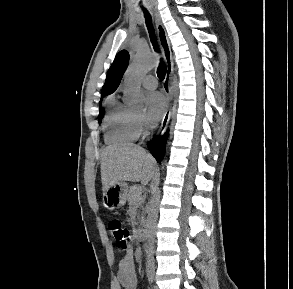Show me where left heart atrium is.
<instances>
[{"instance_id":"left-heart-atrium-1","label":"left heart atrium","mask_w":293,"mask_h":289,"mask_svg":"<svg viewBox=\"0 0 293 289\" xmlns=\"http://www.w3.org/2000/svg\"><path fill=\"white\" fill-rule=\"evenodd\" d=\"M167 110V100L159 92H151L146 97V116L150 122L160 121Z\"/></svg>"}]
</instances>
